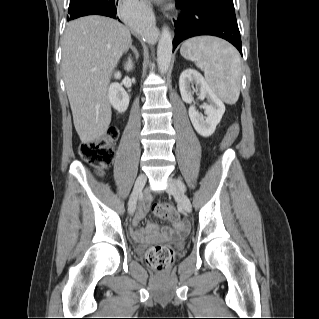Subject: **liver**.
<instances>
[{
    "instance_id": "1",
    "label": "liver",
    "mask_w": 319,
    "mask_h": 319,
    "mask_svg": "<svg viewBox=\"0 0 319 319\" xmlns=\"http://www.w3.org/2000/svg\"><path fill=\"white\" fill-rule=\"evenodd\" d=\"M130 43L129 29L108 17H81L66 26L62 72L74 126L83 143L101 137L109 127L108 85Z\"/></svg>"
}]
</instances>
